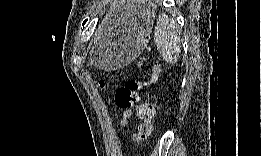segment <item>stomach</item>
Returning <instances> with one entry per match:
<instances>
[{"mask_svg":"<svg viewBox=\"0 0 261 156\" xmlns=\"http://www.w3.org/2000/svg\"><path fill=\"white\" fill-rule=\"evenodd\" d=\"M154 12L132 18L109 38L95 45L93 61L99 67L112 68L130 63L145 48L152 30Z\"/></svg>","mask_w":261,"mask_h":156,"instance_id":"1","label":"stomach"}]
</instances>
